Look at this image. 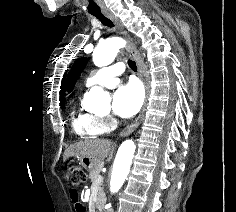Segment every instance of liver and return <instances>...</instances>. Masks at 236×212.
<instances>
[{"mask_svg": "<svg viewBox=\"0 0 236 212\" xmlns=\"http://www.w3.org/2000/svg\"><path fill=\"white\" fill-rule=\"evenodd\" d=\"M113 149V143L107 139H86L70 145L64 152L63 160L69 157L90 156L96 159L108 157Z\"/></svg>", "mask_w": 236, "mask_h": 212, "instance_id": "1", "label": "liver"}]
</instances>
